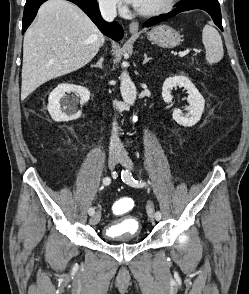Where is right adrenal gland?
Segmentation results:
<instances>
[{"label":"right adrenal gland","instance_id":"2a0ac1e0","mask_svg":"<svg viewBox=\"0 0 249 294\" xmlns=\"http://www.w3.org/2000/svg\"><path fill=\"white\" fill-rule=\"evenodd\" d=\"M91 67H96V68L102 69L103 68V57H101L95 65H91Z\"/></svg>","mask_w":249,"mask_h":294}]
</instances>
